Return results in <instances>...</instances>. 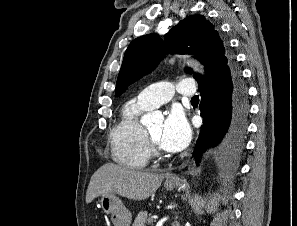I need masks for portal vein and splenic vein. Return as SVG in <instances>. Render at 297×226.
<instances>
[{
  "label": "portal vein and splenic vein",
  "instance_id": "portal-vein-and-splenic-vein-1",
  "mask_svg": "<svg viewBox=\"0 0 297 226\" xmlns=\"http://www.w3.org/2000/svg\"><path fill=\"white\" fill-rule=\"evenodd\" d=\"M154 219L156 220V219H158V217H157V216H155V217H154Z\"/></svg>",
  "mask_w": 297,
  "mask_h": 226
}]
</instances>
